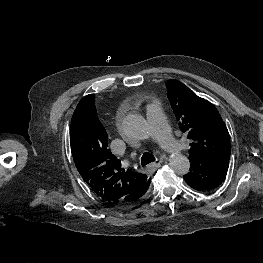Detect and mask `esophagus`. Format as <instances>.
I'll return each mask as SVG.
<instances>
[{
    "label": "esophagus",
    "instance_id": "34e87169",
    "mask_svg": "<svg viewBox=\"0 0 263 263\" xmlns=\"http://www.w3.org/2000/svg\"><path fill=\"white\" fill-rule=\"evenodd\" d=\"M161 163H162V159H157L155 162L150 163V164L147 166V169H148V170H155V169H157L158 167H160Z\"/></svg>",
    "mask_w": 263,
    "mask_h": 263
}]
</instances>
